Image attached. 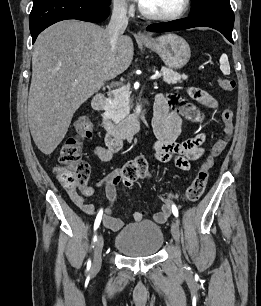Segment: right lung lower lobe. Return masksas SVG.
Returning <instances> with one entry per match:
<instances>
[{
	"label": "right lung lower lobe",
	"instance_id": "98d812e1",
	"mask_svg": "<svg viewBox=\"0 0 261 306\" xmlns=\"http://www.w3.org/2000/svg\"><path fill=\"white\" fill-rule=\"evenodd\" d=\"M109 15V5L95 0H33L29 17L32 43L50 25L66 20L77 19L101 22Z\"/></svg>",
	"mask_w": 261,
	"mask_h": 306
}]
</instances>
